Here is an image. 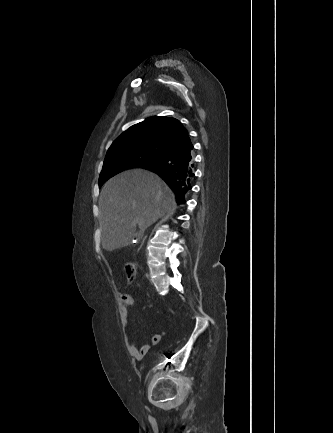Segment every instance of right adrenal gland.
Instances as JSON below:
<instances>
[{
	"label": "right adrenal gland",
	"mask_w": 333,
	"mask_h": 433,
	"mask_svg": "<svg viewBox=\"0 0 333 433\" xmlns=\"http://www.w3.org/2000/svg\"><path fill=\"white\" fill-rule=\"evenodd\" d=\"M145 239H146V237H145V238L143 239L142 245H143V243H144ZM142 245H141V247H142Z\"/></svg>",
	"instance_id": "1"
}]
</instances>
